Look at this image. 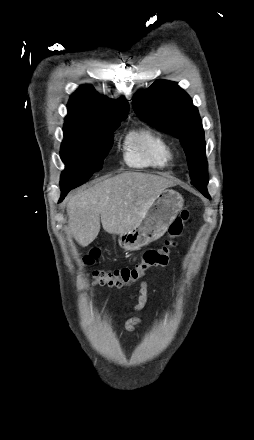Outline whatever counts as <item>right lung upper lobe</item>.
<instances>
[{
	"mask_svg": "<svg viewBox=\"0 0 254 440\" xmlns=\"http://www.w3.org/2000/svg\"><path fill=\"white\" fill-rule=\"evenodd\" d=\"M67 108L65 124L105 127L126 119L128 102L124 97L111 100L93 92L85 94L83 90H78L71 95Z\"/></svg>",
	"mask_w": 254,
	"mask_h": 440,
	"instance_id": "obj_1",
	"label": "right lung upper lobe"
}]
</instances>
